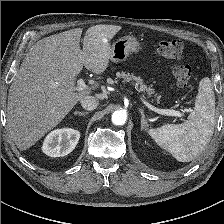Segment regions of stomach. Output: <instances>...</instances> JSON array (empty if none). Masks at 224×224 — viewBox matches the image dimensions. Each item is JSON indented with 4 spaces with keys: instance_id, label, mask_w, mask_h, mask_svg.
<instances>
[{
    "instance_id": "1",
    "label": "stomach",
    "mask_w": 224,
    "mask_h": 224,
    "mask_svg": "<svg viewBox=\"0 0 224 224\" xmlns=\"http://www.w3.org/2000/svg\"><path fill=\"white\" fill-rule=\"evenodd\" d=\"M141 49V43L134 36H123L114 42L111 46L110 61L119 63L125 61L131 53H138Z\"/></svg>"
}]
</instances>
